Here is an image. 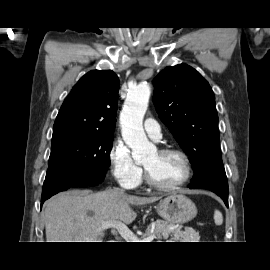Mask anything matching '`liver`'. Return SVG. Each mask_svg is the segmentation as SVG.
I'll list each match as a JSON object with an SVG mask.
<instances>
[{"mask_svg": "<svg viewBox=\"0 0 270 270\" xmlns=\"http://www.w3.org/2000/svg\"><path fill=\"white\" fill-rule=\"evenodd\" d=\"M159 197H138L114 189L60 193L45 205L47 242H103L106 221L132 223L137 214L131 205L158 201Z\"/></svg>", "mask_w": 270, "mask_h": 270, "instance_id": "6515ba94", "label": "liver"}]
</instances>
